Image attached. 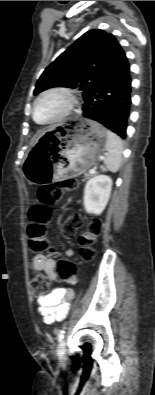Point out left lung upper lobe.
I'll list each match as a JSON object with an SVG mask.
<instances>
[{
    "instance_id": "obj_1",
    "label": "left lung upper lobe",
    "mask_w": 155,
    "mask_h": 395,
    "mask_svg": "<svg viewBox=\"0 0 155 395\" xmlns=\"http://www.w3.org/2000/svg\"><path fill=\"white\" fill-rule=\"evenodd\" d=\"M125 57L114 35L100 29L90 30L45 69L34 94L52 87H68L82 90L85 100L103 76Z\"/></svg>"
}]
</instances>
